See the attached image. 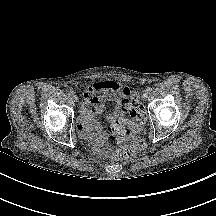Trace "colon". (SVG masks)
I'll list each match as a JSON object with an SVG mask.
<instances>
[{
    "instance_id": "5ec220e1",
    "label": "colon",
    "mask_w": 216,
    "mask_h": 216,
    "mask_svg": "<svg viewBox=\"0 0 216 216\" xmlns=\"http://www.w3.org/2000/svg\"><path fill=\"white\" fill-rule=\"evenodd\" d=\"M129 117H119L109 127L110 141L116 151L115 159H127L140 152L145 143L135 135L143 128L146 121V110L138 97L134 95L127 104Z\"/></svg>"
}]
</instances>
